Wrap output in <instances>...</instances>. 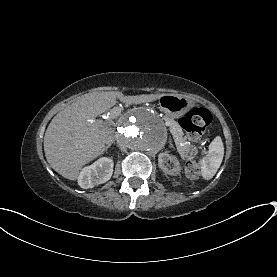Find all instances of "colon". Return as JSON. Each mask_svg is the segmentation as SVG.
Wrapping results in <instances>:
<instances>
[{
    "label": "colon",
    "instance_id": "5ec220e1",
    "mask_svg": "<svg viewBox=\"0 0 277 277\" xmlns=\"http://www.w3.org/2000/svg\"><path fill=\"white\" fill-rule=\"evenodd\" d=\"M211 123V114L205 108L193 107L179 120L181 128L187 133L188 141L179 147L183 158L184 171L187 177L196 179L200 176V168L196 155L198 142Z\"/></svg>",
    "mask_w": 277,
    "mask_h": 277
}]
</instances>
